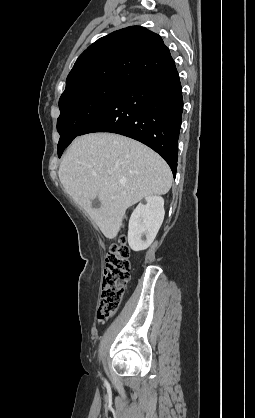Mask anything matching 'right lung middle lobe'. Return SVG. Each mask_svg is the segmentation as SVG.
Listing matches in <instances>:
<instances>
[{"mask_svg": "<svg viewBox=\"0 0 255 418\" xmlns=\"http://www.w3.org/2000/svg\"><path fill=\"white\" fill-rule=\"evenodd\" d=\"M126 86L118 82L96 81L79 85L61 95V113L57 120L59 157L81 130Z\"/></svg>", "mask_w": 255, "mask_h": 418, "instance_id": "dd1d6c3e", "label": "right lung middle lobe"}]
</instances>
